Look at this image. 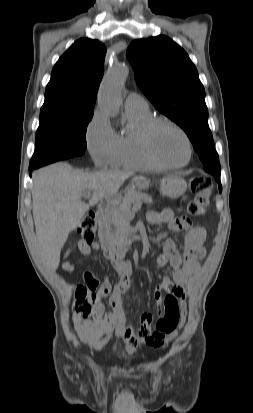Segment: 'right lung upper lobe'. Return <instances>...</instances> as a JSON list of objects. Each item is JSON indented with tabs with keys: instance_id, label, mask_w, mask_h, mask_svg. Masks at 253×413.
Returning <instances> with one entry per match:
<instances>
[{
	"instance_id": "obj_1",
	"label": "right lung upper lobe",
	"mask_w": 253,
	"mask_h": 413,
	"mask_svg": "<svg viewBox=\"0 0 253 413\" xmlns=\"http://www.w3.org/2000/svg\"><path fill=\"white\" fill-rule=\"evenodd\" d=\"M105 54L106 48L98 40H77L53 67L40 115L93 112Z\"/></svg>"
}]
</instances>
